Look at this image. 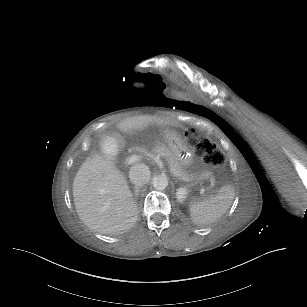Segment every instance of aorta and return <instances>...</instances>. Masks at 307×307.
Returning a JSON list of instances; mask_svg holds the SVG:
<instances>
[{
	"label": "aorta",
	"mask_w": 307,
	"mask_h": 307,
	"mask_svg": "<svg viewBox=\"0 0 307 307\" xmlns=\"http://www.w3.org/2000/svg\"><path fill=\"white\" fill-rule=\"evenodd\" d=\"M152 185L156 190L162 191L168 186V178L165 175H156L152 178Z\"/></svg>",
	"instance_id": "obj_1"
}]
</instances>
